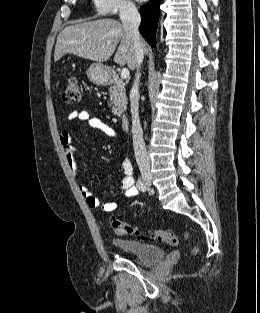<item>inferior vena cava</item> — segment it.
Wrapping results in <instances>:
<instances>
[{"label": "inferior vena cava", "instance_id": "obj_1", "mask_svg": "<svg viewBox=\"0 0 260 313\" xmlns=\"http://www.w3.org/2000/svg\"><path fill=\"white\" fill-rule=\"evenodd\" d=\"M120 19L122 23L127 26L134 42V51L136 56V68L137 72L135 75V81L130 91V102H131V114H132V134H133V147L135 158L139 167L149 168L150 162L147 156L145 142L143 139V131L140 124L138 108H139V68L144 59V52L141 46V37L139 33V25L141 22L140 14L131 2L124 1L120 6L119 11Z\"/></svg>", "mask_w": 260, "mask_h": 313}]
</instances>
